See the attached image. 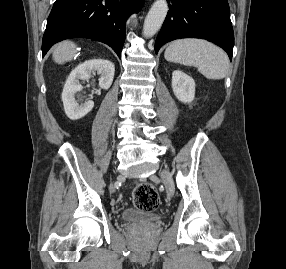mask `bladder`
Wrapping results in <instances>:
<instances>
[{
  "label": "bladder",
  "mask_w": 286,
  "mask_h": 269,
  "mask_svg": "<svg viewBox=\"0 0 286 269\" xmlns=\"http://www.w3.org/2000/svg\"><path fill=\"white\" fill-rule=\"evenodd\" d=\"M161 219L157 213L139 210L133 207H127L121 212V220L124 223H156Z\"/></svg>",
  "instance_id": "1"
}]
</instances>
